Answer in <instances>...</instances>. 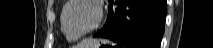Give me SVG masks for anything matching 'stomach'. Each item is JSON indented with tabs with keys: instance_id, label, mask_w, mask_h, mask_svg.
<instances>
[{
	"instance_id": "0dacf381",
	"label": "stomach",
	"mask_w": 213,
	"mask_h": 48,
	"mask_svg": "<svg viewBox=\"0 0 213 48\" xmlns=\"http://www.w3.org/2000/svg\"><path fill=\"white\" fill-rule=\"evenodd\" d=\"M111 42L107 40H102L100 42H97L93 44L92 46H89L88 48H101V46H110Z\"/></svg>"
}]
</instances>
